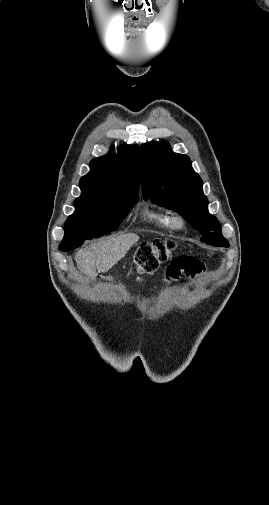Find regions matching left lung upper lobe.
I'll return each mask as SVG.
<instances>
[{
	"mask_svg": "<svg viewBox=\"0 0 269 505\" xmlns=\"http://www.w3.org/2000/svg\"><path fill=\"white\" fill-rule=\"evenodd\" d=\"M141 186L144 199L178 212L203 236L201 241L228 247L215 216L208 211L203 182L190 158L171 151L163 142L141 145Z\"/></svg>",
	"mask_w": 269,
	"mask_h": 505,
	"instance_id": "5c2ea615",
	"label": "left lung upper lobe"
}]
</instances>
